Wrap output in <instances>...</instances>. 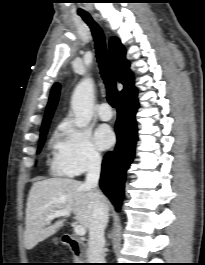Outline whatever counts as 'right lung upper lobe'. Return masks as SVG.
<instances>
[{"instance_id":"1","label":"right lung upper lobe","mask_w":205,"mask_h":265,"mask_svg":"<svg viewBox=\"0 0 205 265\" xmlns=\"http://www.w3.org/2000/svg\"><path fill=\"white\" fill-rule=\"evenodd\" d=\"M109 50L114 64L117 80L124 85V89L120 92L119 103H127L137 96V90L134 87V77L129 70L130 64L126 59V50L120 40L112 37L109 42ZM60 92V85L55 83L52 87L49 102L46 108L42 128L49 126L54 110L57 105Z\"/></svg>"}]
</instances>
